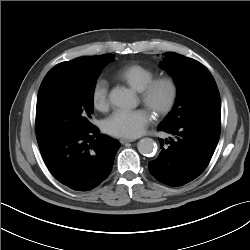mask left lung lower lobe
<instances>
[{
  "label": "left lung lower lobe",
  "mask_w": 250,
  "mask_h": 250,
  "mask_svg": "<svg viewBox=\"0 0 250 250\" xmlns=\"http://www.w3.org/2000/svg\"><path fill=\"white\" fill-rule=\"evenodd\" d=\"M221 116L212 114L188 119L179 126H158L172 138L159 139L161 152L149 162V172L160 182L182 186L198 177L208 166L220 137Z\"/></svg>",
  "instance_id": "0a47b994"
}]
</instances>
